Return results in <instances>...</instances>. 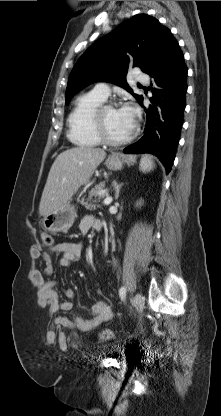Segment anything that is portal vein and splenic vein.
Returning a JSON list of instances; mask_svg holds the SVG:
<instances>
[{
    "mask_svg": "<svg viewBox=\"0 0 221 416\" xmlns=\"http://www.w3.org/2000/svg\"><path fill=\"white\" fill-rule=\"evenodd\" d=\"M111 202H112V197H110V196H107V197L104 199V204H105V205H109Z\"/></svg>",
    "mask_w": 221,
    "mask_h": 416,
    "instance_id": "18ae733b",
    "label": "portal vein and splenic vein"
}]
</instances>
